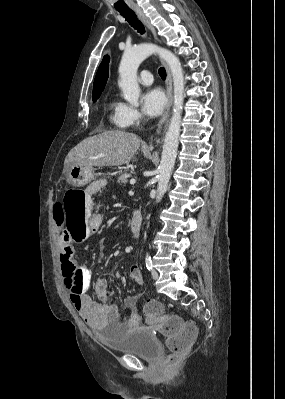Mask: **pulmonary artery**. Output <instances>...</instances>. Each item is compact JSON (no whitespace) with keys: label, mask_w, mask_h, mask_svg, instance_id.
Here are the masks:
<instances>
[{"label":"pulmonary artery","mask_w":285,"mask_h":399,"mask_svg":"<svg viewBox=\"0 0 285 399\" xmlns=\"http://www.w3.org/2000/svg\"><path fill=\"white\" fill-rule=\"evenodd\" d=\"M139 82L144 85H150L153 82V77L151 72L144 70L139 75Z\"/></svg>","instance_id":"pulmonary-artery-1"}]
</instances>
